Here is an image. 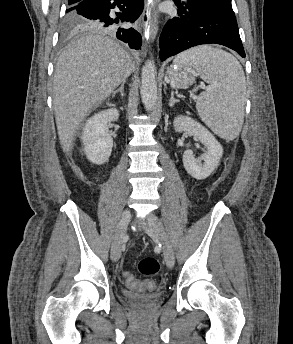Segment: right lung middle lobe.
<instances>
[{"instance_id":"obj_1","label":"right lung middle lobe","mask_w":293,"mask_h":344,"mask_svg":"<svg viewBox=\"0 0 293 344\" xmlns=\"http://www.w3.org/2000/svg\"><path fill=\"white\" fill-rule=\"evenodd\" d=\"M75 6V5H74ZM74 6L67 9L65 18L63 35L71 36L81 30L92 29L91 21L86 20L74 11Z\"/></svg>"}]
</instances>
